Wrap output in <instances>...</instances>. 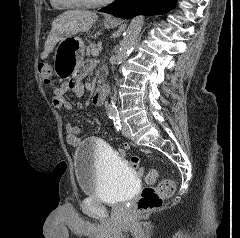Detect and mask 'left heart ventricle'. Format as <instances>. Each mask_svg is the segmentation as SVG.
<instances>
[{"mask_svg":"<svg viewBox=\"0 0 240 238\" xmlns=\"http://www.w3.org/2000/svg\"><path fill=\"white\" fill-rule=\"evenodd\" d=\"M67 1H75V2H87V3H91V2H97L100 0H67Z\"/></svg>","mask_w":240,"mask_h":238,"instance_id":"1","label":"left heart ventricle"}]
</instances>
